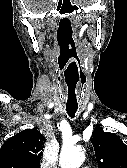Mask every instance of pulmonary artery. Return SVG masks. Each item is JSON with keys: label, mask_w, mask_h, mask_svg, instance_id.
<instances>
[{"label": "pulmonary artery", "mask_w": 127, "mask_h": 168, "mask_svg": "<svg viewBox=\"0 0 127 168\" xmlns=\"http://www.w3.org/2000/svg\"><path fill=\"white\" fill-rule=\"evenodd\" d=\"M82 168H88V167H86V166H83Z\"/></svg>", "instance_id": "e3ab8cb5"}]
</instances>
